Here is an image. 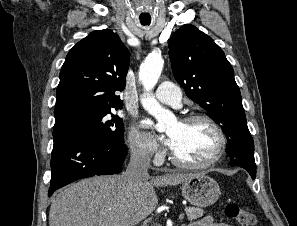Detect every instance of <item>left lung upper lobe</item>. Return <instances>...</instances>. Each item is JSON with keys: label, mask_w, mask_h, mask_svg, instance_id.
<instances>
[{"label": "left lung upper lobe", "mask_w": 297, "mask_h": 226, "mask_svg": "<svg viewBox=\"0 0 297 226\" xmlns=\"http://www.w3.org/2000/svg\"><path fill=\"white\" fill-rule=\"evenodd\" d=\"M175 79L186 95L220 124L233 159H254V142L246 123L234 71L222 49L193 25H183L169 40Z\"/></svg>", "instance_id": "1"}]
</instances>
